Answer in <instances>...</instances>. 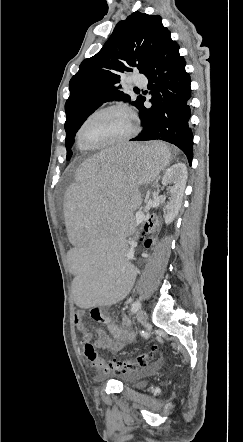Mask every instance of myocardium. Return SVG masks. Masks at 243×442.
<instances>
[{
	"label": "myocardium",
	"mask_w": 243,
	"mask_h": 442,
	"mask_svg": "<svg viewBox=\"0 0 243 442\" xmlns=\"http://www.w3.org/2000/svg\"><path fill=\"white\" fill-rule=\"evenodd\" d=\"M111 111H122L125 112L130 120H131V129L130 131L123 137L117 138L115 140L100 144V145H88L86 144L83 139H82V132L84 127L86 126V124L92 120L93 118L100 116L102 114H105L107 112H111ZM137 132V122H136V117L133 113V111L126 105L123 104H115V105H109L106 107H103L101 109H98L96 111H94L93 113H91L89 116H87L84 121L81 123L78 132H77V140L79 142V144L85 148L86 150H100V149H105V148H109L112 146H116V145H120L123 144L127 141H129Z\"/></svg>",
	"instance_id": "obj_1"
}]
</instances>
